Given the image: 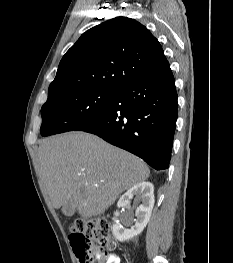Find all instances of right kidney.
<instances>
[{"mask_svg":"<svg viewBox=\"0 0 233 263\" xmlns=\"http://www.w3.org/2000/svg\"><path fill=\"white\" fill-rule=\"evenodd\" d=\"M135 196L136 202H142L136 209V219H134L135 225L131 229L124 228L119 223H114L112 226L113 235L120 241H126L139 235L146 227L151 212L154 206V186L150 182H140L130 188L121 198L119 199L117 206L128 207L130 206L131 199ZM115 217L119 216V211L114 213Z\"/></svg>","mask_w":233,"mask_h":263,"instance_id":"right-kidney-1","label":"right kidney"}]
</instances>
